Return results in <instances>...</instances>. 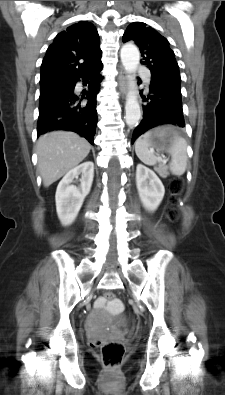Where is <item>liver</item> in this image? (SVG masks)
<instances>
[{
	"label": "liver",
	"mask_w": 225,
	"mask_h": 395,
	"mask_svg": "<svg viewBox=\"0 0 225 395\" xmlns=\"http://www.w3.org/2000/svg\"><path fill=\"white\" fill-rule=\"evenodd\" d=\"M89 142L74 132L54 131L37 142L38 170L44 187L59 180L89 154Z\"/></svg>",
	"instance_id": "obj_1"
}]
</instances>
